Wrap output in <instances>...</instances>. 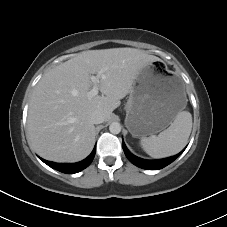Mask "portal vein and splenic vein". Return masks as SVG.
Listing matches in <instances>:
<instances>
[{
  "label": "portal vein and splenic vein",
  "mask_w": 227,
  "mask_h": 227,
  "mask_svg": "<svg viewBox=\"0 0 227 227\" xmlns=\"http://www.w3.org/2000/svg\"><path fill=\"white\" fill-rule=\"evenodd\" d=\"M100 76H101V72L99 74H97L96 76L92 75L90 77V79L93 83V88L88 92L89 98H92L98 94V92H99L98 84H99Z\"/></svg>",
  "instance_id": "obj_1"
}]
</instances>
